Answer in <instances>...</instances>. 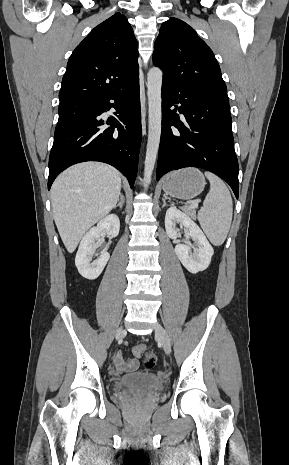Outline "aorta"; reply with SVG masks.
Listing matches in <instances>:
<instances>
[{
    "instance_id": "obj_1",
    "label": "aorta",
    "mask_w": 289,
    "mask_h": 465,
    "mask_svg": "<svg viewBox=\"0 0 289 465\" xmlns=\"http://www.w3.org/2000/svg\"><path fill=\"white\" fill-rule=\"evenodd\" d=\"M163 73L158 67H153L149 70L147 76V95H148V141L146 148L145 167H144V183L147 186L151 181V176L155 166L157 153L159 149L161 137V116H162V87Z\"/></svg>"
}]
</instances>
